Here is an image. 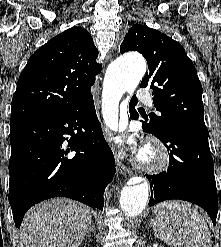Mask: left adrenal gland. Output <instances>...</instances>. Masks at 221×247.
Masks as SVG:
<instances>
[{
	"instance_id": "1",
	"label": "left adrenal gland",
	"mask_w": 221,
	"mask_h": 247,
	"mask_svg": "<svg viewBox=\"0 0 221 247\" xmlns=\"http://www.w3.org/2000/svg\"><path fill=\"white\" fill-rule=\"evenodd\" d=\"M150 225H151V226L153 225V220L150 221Z\"/></svg>"
}]
</instances>
